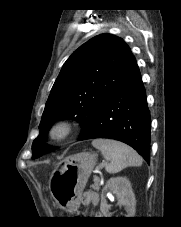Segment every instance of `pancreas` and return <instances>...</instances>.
<instances>
[{"instance_id": "1", "label": "pancreas", "mask_w": 181, "mask_h": 227, "mask_svg": "<svg viewBox=\"0 0 181 227\" xmlns=\"http://www.w3.org/2000/svg\"><path fill=\"white\" fill-rule=\"evenodd\" d=\"M91 188L93 190H96L98 191L100 189V186H99V180L97 182L94 181V184L91 185Z\"/></svg>"}]
</instances>
